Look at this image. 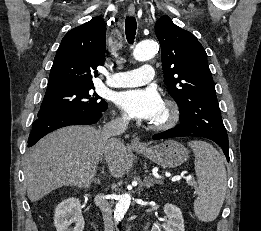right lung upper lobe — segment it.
Segmentation results:
<instances>
[{
  "instance_id": "cb5924a9",
  "label": "right lung upper lobe",
  "mask_w": 261,
  "mask_h": 231,
  "mask_svg": "<svg viewBox=\"0 0 261 231\" xmlns=\"http://www.w3.org/2000/svg\"><path fill=\"white\" fill-rule=\"evenodd\" d=\"M106 25L100 16L73 28L62 39L48 87L93 85L97 66L104 65Z\"/></svg>"
}]
</instances>
